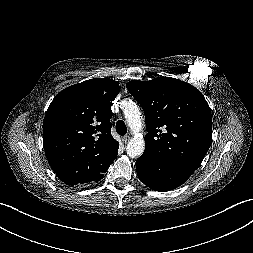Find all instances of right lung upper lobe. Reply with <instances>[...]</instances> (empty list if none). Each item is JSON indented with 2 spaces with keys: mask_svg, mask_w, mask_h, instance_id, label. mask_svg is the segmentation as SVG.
I'll list each match as a JSON object with an SVG mask.
<instances>
[{
  "mask_svg": "<svg viewBox=\"0 0 253 253\" xmlns=\"http://www.w3.org/2000/svg\"><path fill=\"white\" fill-rule=\"evenodd\" d=\"M119 82L94 78L62 90L43 122V146L53 171L69 185L103 175L117 156L111 135V104Z\"/></svg>",
  "mask_w": 253,
  "mask_h": 253,
  "instance_id": "obj_1",
  "label": "right lung upper lobe"
}]
</instances>
